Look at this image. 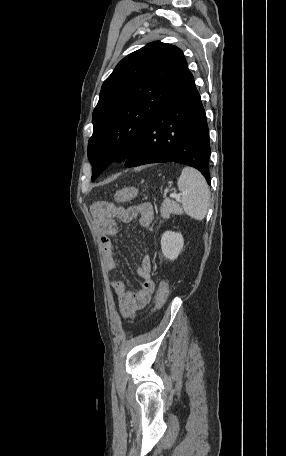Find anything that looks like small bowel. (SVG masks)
Masks as SVG:
<instances>
[{
	"instance_id": "small-bowel-1",
	"label": "small bowel",
	"mask_w": 286,
	"mask_h": 456,
	"mask_svg": "<svg viewBox=\"0 0 286 456\" xmlns=\"http://www.w3.org/2000/svg\"><path fill=\"white\" fill-rule=\"evenodd\" d=\"M93 216L101 231L100 241L103 261L109 270H114L117 268V262L114 258L111 236L116 233V228L112 223V218L118 217L124 222H132L137 219L141 227L149 228L154 220V208L150 203H143L128 208L113 204L111 209L107 211L94 210ZM151 269V257L145 255L137 271L142 281L141 287L137 292L127 290L125 283L121 280H113L111 282V287L117 295L120 312L124 317L132 316L136 311L144 308L149 303L154 290Z\"/></svg>"
}]
</instances>
